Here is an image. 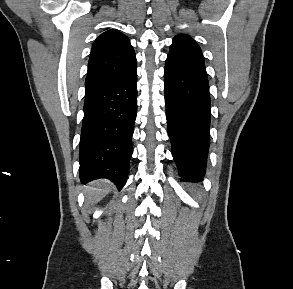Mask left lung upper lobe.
I'll list each match as a JSON object with an SVG mask.
<instances>
[{
  "label": "left lung upper lobe",
  "instance_id": "5c2ea615",
  "mask_svg": "<svg viewBox=\"0 0 293 289\" xmlns=\"http://www.w3.org/2000/svg\"><path fill=\"white\" fill-rule=\"evenodd\" d=\"M168 55L186 56L204 62V57L200 47L189 35L185 34H179L174 37Z\"/></svg>",
  "mask_w": 293,
  "mask_h": 289
}]
</instances>
